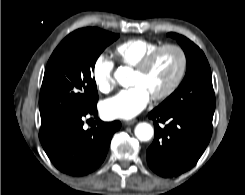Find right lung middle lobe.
<instances>
[{"label": "right lung middle lobe", "mask_w": 245, "mask_h": 195, "mask_svg": "<svg viewBox=\"0 0 245 195\" xmlns=\"http://www.w3.org/2000/svg\"><path fill=\"white\" fill-rule=\"evenodd\" d=\"M119 35L98 28L70 33L52 53L39 97L41 119L93 108L98 93L92 71L103 50Z\"/></svg>", "instance_id": "obj_1"}]
</instances>
